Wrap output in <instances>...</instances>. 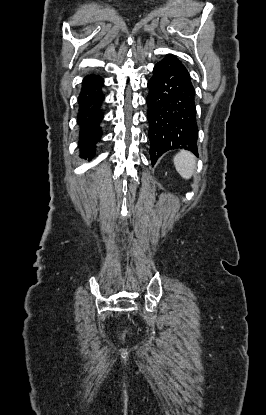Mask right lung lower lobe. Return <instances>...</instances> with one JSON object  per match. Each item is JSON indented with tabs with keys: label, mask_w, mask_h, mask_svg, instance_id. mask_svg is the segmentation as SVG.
Returning <instances> with one entry per match:
<instances>
[{
	"label": "right lung lower lobe",
	"mask_w": 266,
	"mask_h": 415,
	"mask_svg": "<svg viewBox=\"0 0 266 415\" xmlns=\"http://www.w3.org/2000/svg\"><path fill=\"white\" fill-rule=\"evenodd\" d=\"M103 85L104 80L100 76L87 75L78 97L79 146L81 152L89 157L94 155L95 145L102 136L100 123L104 116Z\"/></svg>",
	"instance_id": "right-lung-lower-lobe-1"
}]
</instances>
